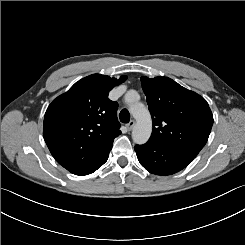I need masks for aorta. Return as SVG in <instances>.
Instances as JSON below:
<instances>
[{
  "mask_svg": "<svg viewBox=\"0 0 245 245\" xmlns=\"http://www.w3.org/2000/svg\"><path fill=\"white\" fill-rule=\"evenodd\" d=\"M131 93L126 95L129 101ZM130 112L136 120V124L132 130V139L136 144H144L148 141L152 132V120L148 109L140 103H131Z\"/></svg>",
  "mask_w": 245,
  "mask_h": 245,
  "instance_id": "1",
  "label": "aorta"
}]
</instances>
